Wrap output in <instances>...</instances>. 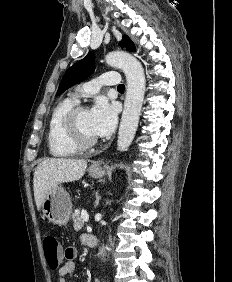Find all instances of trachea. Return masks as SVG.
<instances>
[{
  "mask_svg": "<svg viewBox=\"0 0 232 282\" xmlns=\"http://www.w3.org/2000/svg\"><path fill=\"white\" fill-rule=\"evenodd\" d=\"M118 90H124L125 89V86L123 84H120L118 85L117 87Z\"/></svg>",
  "mask_w": 232,
  "mask_h": 282,
  "instance_id": "trachea-1",
  "label": "trachea"
}]
</instances>
